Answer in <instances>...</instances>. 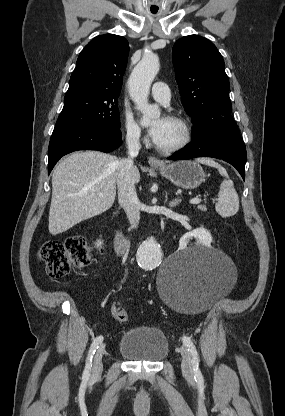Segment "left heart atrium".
Listing matches in <instances>:
<instances>
[{"label":"left heart atrium","instance_id":"obj_1","mask_svg":"<svg viewBox=\"0 0 285 416\" xmlns=\"http://www.w3.org/2000/svg\"><path fill=\"white\" fill-rule=\"evenodd\" d=\"M166 118H160L149 127V135L155 144H159L164 136L166 128Z\"/></svg>","mask_w":285,"mask_h":416}]
</instances>
